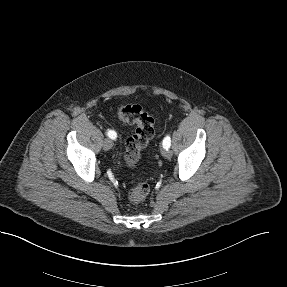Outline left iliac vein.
I'll list each match as a JSON object with an SVG mask.
<instances>
[{"label":"left iliac vein","instance_id":"obj_1","mask_svg":"<svg viewBox=\"0 0 287 287\" xmlns=\"http://www.w3.org/2000/svg\"><path fill=\"white\" fill-rule=\"evenodd\" d=\"M162 155H163L165 158H171V156H172V151L169 150V149H163V150H162Z\"/></svg>","mask_w":287,"mask_h":287}]
</instances>
